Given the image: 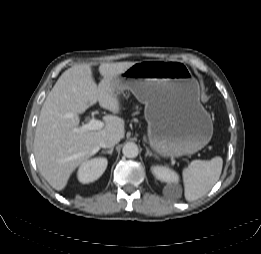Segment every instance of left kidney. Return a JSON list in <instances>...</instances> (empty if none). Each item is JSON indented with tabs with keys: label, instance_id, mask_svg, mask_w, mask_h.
Segmentation results:
<instances>
[{
	"label": "left kidney",
	"instance_id": "left-kidney-1",
	"mask_svg": "<svg viewBox=\"0 0 261 254\" xmlns=\"http://www.w3.org/2000/svg\"><path fill=\"white\" fill-rule=\"evenodd\" d=\"M151 171L156 179L166 182L168 184H178L179 176L178 174L165 166L154 165L151 167Z\"/></svg>",
	"mask_w": 261,
	"mask_h": 254
}]
</instances>
